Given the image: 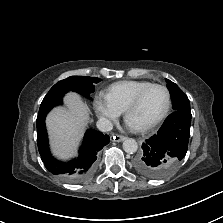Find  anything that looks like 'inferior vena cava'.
<instances>
[{"instance_id":"inferior-vena-cava-1","label":"inferior vena cava","mask_w":223,"mask_h":223,"mask_svg":"<svg viewBox=\"0 0 223 223\" xmlns=\"http://www.w3.org/2000/svg\"><path fill=\"white\" fill-rule=\"evenodd\" d=\"M97 128L102 131V132H108L111 131L113 129V124L110 120L106 119V118H100L97 121Z\"/></svg>"}]
</instances>
